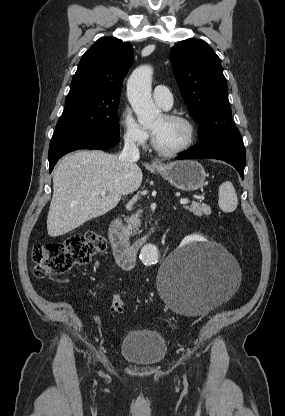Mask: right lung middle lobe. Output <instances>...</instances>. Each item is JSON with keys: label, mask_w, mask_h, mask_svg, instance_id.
Instances as JSON below:
<instances>
[{"label": "right lung middle lobe", "mask_w": 285, "mask_h": 416, "mask_svg": "<svg viewBox=\"0 0 285 416\" xmlns=\"http://www.w3.org/2000/svg\"><path fill=\"white\" fill-rule=\"evenodd\" d=\"M119 98L98 100L67 96L65 109L58 120L55 133L88 132L119 134Z\"/></svg>", "instance_id": "dd1d6c3e"}]
</instances>
